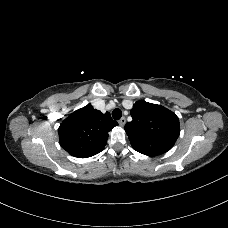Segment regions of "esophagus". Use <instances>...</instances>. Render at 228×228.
Returning a JSON list of instances; mask_svg holds the SVG:
<instances>
[{"instance_id":"1","label":"esophagus","mask_w":228,"mask_h":228,"mask_svg":"<svg viewBox=\"0 0 228 228\" xmlns=\"http://www.w3.org/2000/svg\"><path fill=\"white\" fill-rule=\"evenodd\" d=\"M119 125L120 126H124L125 123H126V118L125 117H122L119 121H118Z\"/></svg>"}]
</instances>
